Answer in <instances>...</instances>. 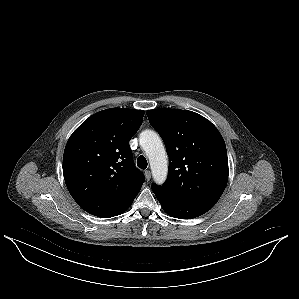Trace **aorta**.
Here are the masks:
<instances>
[{"label":"aorta","mask_w":299,"mask_h":299,"mask_svg":"<svg viewBox=\"0 0 299 299\" xmlns=\"http://www.w3.org/2000/svg\"><path fill=\"white\" fill-rule=\"evenodd\" d=\"M139 143L149 159L154 181L163 184L167 178L168 163L161 138L155 131L144 130L139 136Z\"/></svg>","instance_id":"obj_1"}]
</instances>
